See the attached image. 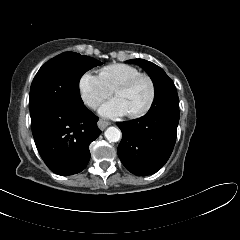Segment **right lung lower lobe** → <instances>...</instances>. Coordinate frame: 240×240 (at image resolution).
Wrapping results in <instances>:
<instances>
[{
  "label": "right lung lower lobe",
  "mask_w": 240,
  "mask_h": 240,
  "mask_svg": "<svg viewBox=\"0 0 240 240\" xmlns=\"http://www.w3.org/2000/svg\"><path fill=\"white\" fill-rule=\"evenodd\" d=\"M97 121L84 104L54 106L31 117L36 147L52 172L68 176L85 169L89 144L101 133Z\"/></svg>",
  "instance_id": "right-lung-lower-lobe-1"
}]
</instances>
